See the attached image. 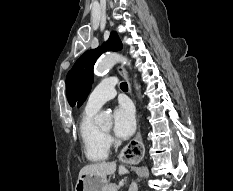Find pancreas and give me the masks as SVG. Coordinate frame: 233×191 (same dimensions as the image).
I'll return each instance as SVG.
<instances>
[{"label": "pancreas", "instance_id": "1", "mask_svg": "<svg viewBox=\"0 0 233 191\" xmlns=\"http://www.w3.org/2000/svg\"><path fill=\"white\" fill-rule=\"evenodd\" d=\"M119 187L115 184H109L107 191H118Z\"/></svg>", "mask_w": 233, "mask_h": 191}]
</instances>
